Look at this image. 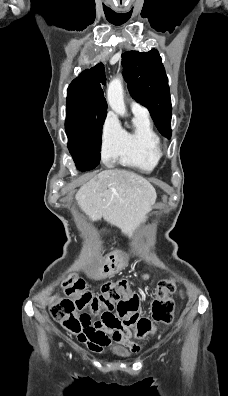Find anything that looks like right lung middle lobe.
I'll list each match as a JSON object with an SVG mask.
<instances>
[{"label":"right lung middle lobe","mask_w":228,"mask_h":396,"mask_svg":"<svg viewBox=\"0 0 228 396\" xmlns=\"http://www.w3.org/2000/svg\"><path fill=\"white\" fill-rule=\"evenodd\" d=\"M106 111L87 114L67 104L65 129L68 148L78 169H94L100 162L101 135Z\"/></svg>","instance_id":"dd1d6c3e"}]
</instances>
